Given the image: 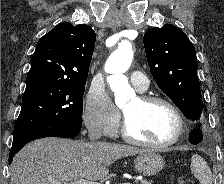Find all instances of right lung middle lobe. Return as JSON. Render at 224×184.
<instances>
[{
	"mask_svg": "<svg viewBox=\"0 0 224 184\" xmlns=\"http://www.w3.org/2000/svg\"><path fill=\"white\" fill-rule=\"evenodd\" d=\"M85 83L35 82L26 85L14 135L45 123L80 125Z\"/></svg>",
	"mask_w": 224,
	"mask_h": 184,
	"instance_id": "1",
	"label": "right lung middle lobe"
}]
</instances>
